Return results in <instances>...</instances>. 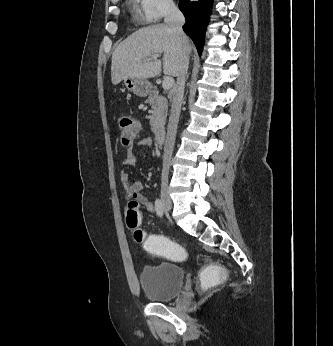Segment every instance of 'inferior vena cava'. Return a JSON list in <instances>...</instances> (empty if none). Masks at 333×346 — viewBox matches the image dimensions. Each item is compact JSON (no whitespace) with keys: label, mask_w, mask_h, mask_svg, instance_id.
Instances as JSON below:
<instances>
[{"label":"inferior vena cava","mask_w":333,"mask_h":346,"mask_svg":"<svg viewBox=\"0 0 333 346\" xmlns=\"http://www.w3.org/2000/svg\"><path fill=\"white\" fill-rule=\"evenodd\" d=\"M164 22L178 36L182 49L178 66L177 82L173 88L172 105L164 145L162 179H167L184 94L189 54L184 46L185 34L183 33L182 26L185 23V18L182 12L175 5H169L166 10Z\"/></svg>","instance_id":"obj_1"}]
</instances>
